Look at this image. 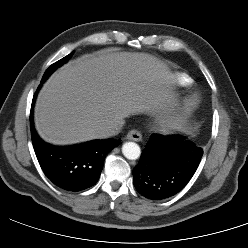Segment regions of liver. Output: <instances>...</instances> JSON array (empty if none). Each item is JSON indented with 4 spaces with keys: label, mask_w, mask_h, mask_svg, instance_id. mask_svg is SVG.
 Wrapping results in <instances>:
<instances>
[{
    "label": "liver",
    "mask_w": 248,
    "mask_h": 248,
    "mask_svg": "<svg viewBox=\"0 0 248 248\" xmlns=\"http://www.w3.org/2000/svg\"><path fill=\"white\" fill-rule=\"evenodd\" d=\"M170 86L167 67L149 54L84 55L44 84L35 126L55 145L106 138L107 128L129 115L165 109L174 97Z\"/></svg>",
    "instance_id": "obj_1"
}]
</instances>
